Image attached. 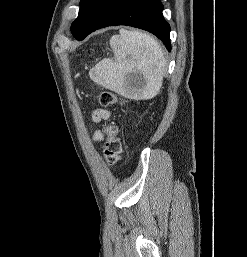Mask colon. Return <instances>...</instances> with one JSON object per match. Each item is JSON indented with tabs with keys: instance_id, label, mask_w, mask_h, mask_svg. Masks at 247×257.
Wrapping results in <instances>:
<instances>
[{
	"instance_id": "1",
	"label": "colon",
	"mask_w": 247,
	"mask_h": 257,
	"mask_svg": "<svg viewBox=\"0 0 247 257\" xmlns=\"http://www.w3.org/2000/svg\"><path fill=\"white\" fill-rule=\"evenodd\" d=\"M98 101L102 106L118 105L121 109L123 101L110 91H102L98 96ZM105 133L104 156L109 165L117 164L121 159L122 145L118 137V126L115 123L107 124L103 127Z\"/></svg>"
}]
</instances>
